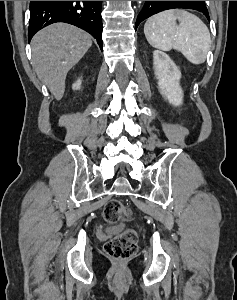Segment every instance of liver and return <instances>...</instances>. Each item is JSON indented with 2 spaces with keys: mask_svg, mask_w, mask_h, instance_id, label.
<instances>
[{
  "mask_svg": "<svg viewBox=\"0 0 237 300\" xmlns=\"http://www.w3.org/2000/svg\"><path fill=\"white\" fill-rule=\"evenodd\" d=\"M91 45L88 33L66 23L49 25L33 37L32 67L56 101H61L65 93L68 71L82 59Z\"/></svg>",
  "mask_w": 237,
  "mask_h": 300,
  "instance_id": "liver-1",
  "label": "liver"
}]
</instances>
